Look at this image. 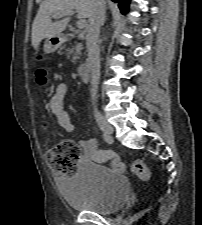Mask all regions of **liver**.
Listing matches in <instances>:
<instances>
[{"instance_id": "1", "label": "liver", "mask_w": 202, "mask_h": 225, "mask_svg": "<svg viewBox=\"0 0 202 225\" xmlns=\"http://www.w3.org/2000/svg\"><path fill=\"white\" fill-rule=\"evenodd\" d=\"M95 6V0H44L32 25L31 43L37 49L45 38H51L65 30L69 19L64 18L52 23L51 16L62 14L73 9L77 10L78 18H90Z\"/></svg>"}]
</instances>
